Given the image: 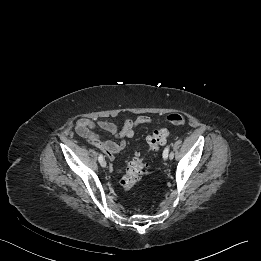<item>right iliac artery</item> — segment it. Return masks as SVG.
I'll list each match as a JSON object with an SVG mask.
<instances>
[{
    "mask_svg": "<svg viewBox=\"0 0 261 261\" xmlns=\"http://www.w3.org/2000/svg\"><path fill=\"white\" fill-rule=\"evenodd\" d=\"M98 160H99V162H100L101 160H103V155H102V154H99Z\"/></svg>",
    "mask_w": 261,
    "mask_h": 261,
    "instance_id": "82829eb1",
    "label": "right iliac artery"
}]
</instances>
